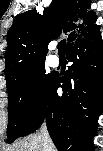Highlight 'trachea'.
<instances>
[{
	"label": "trachea",
	"mask_w": 103,
	"mask_h": 151,
	"mask_svg": "<svg viewBox=\"0 0 103 151\" xmlns=\"http://www.w3.org/2000/svg\"><path fill=\"white\" fill-rule=\"evenodd\" d=\"M57 48L59 50L60 55H65L66 40L63 39L62 41H60Z\"/></svg>",
	"instance_id": "trachea-1"
}]
</instances>
